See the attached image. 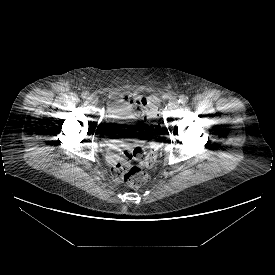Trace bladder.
Here are the masks:
<instances>
[{"instance_id":"31cf9c89","label":"bladder","mask_w":275,"mask_h":275,"mask_svg":"<svg viewBox=\"0 0 275 275\" xmlns=\"http://www.w3.org/2000/svg\"><path fill=\"white\" fill-rule=\"evenodd\" d=\"M131 111H123L119 106L110 109L105 117V124L108 127L132 128L136 126V121L131 117ZM111 131L110 133H115Z\"/></svg>"}]
</instances>
